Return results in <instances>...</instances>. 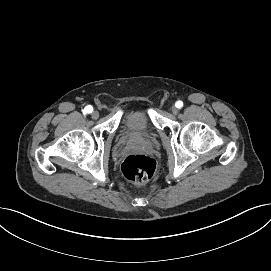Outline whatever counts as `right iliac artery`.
I'll return each mask as SVG.
<instances>
[{
    "mask_svg": "<svg viewBox=\"0 0 271 271\" xmlns=\"http://www.w3.org/2000/svg\"><path fill=\"white\" fill-rule=\"evenodd\" d=\"M93 111V107L91 105H88L84 109V113H91Z\"/></svg>",
    "mask_w": 271,
    "mask_h": 271,
    "instance_id": "right-iliac-artery-1",
    "label": "right iliac artery"
}]
</instances>
